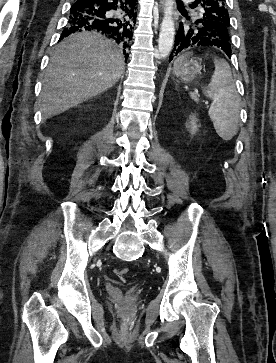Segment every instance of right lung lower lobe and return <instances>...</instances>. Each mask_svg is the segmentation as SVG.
Returning a JSON list of instances; mask_svg holds the SVG:
<instances>
[{"mask_svg":"<svg viewBox=\"0 0 276 363\" xmlns=\"http://www.w3.org/2000/svg\"><path fill=\"white\" fill-rule=\"evenodd\" d=\"M136 6V0H75L60 40L75 32H99L113 39L128 57L126 50L133 37ZM120 10V14H112Z\"/></svg>","mask_w":276,"mask_h":363,"instance_id":"98d812e1","label":"right lung lower lobe"}]
</instances>
